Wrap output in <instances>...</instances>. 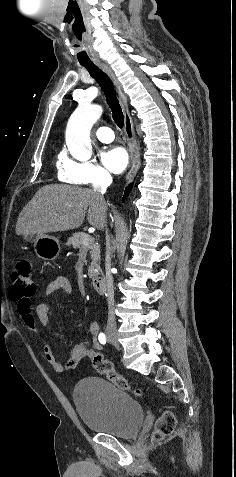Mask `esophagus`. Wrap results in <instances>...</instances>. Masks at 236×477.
<instances>
[{"instance_id": "1", "label": "esophagus", "mask_w": 236, "mask_h": 477, "mask_svg": "<svg viewBox=\"0 0 236 477\" xmlns=\"http://www.w3.org/2000/svg\"><path fill=\"white\" fill-rule=\"evenodd\" d=\"M99 67L110 77V79L114 83L118 97H119L120 104L123 109L124 130L129 141L130 160H131L129 170L126 175V180L129 182L133 180L139 168V149L136 143L132 118L128 110L127 96L125 95L122 89V85L120 84V82L118 81V79L116 78L112 70L103 64H99Z\"/></svg>"}]
</instances>
